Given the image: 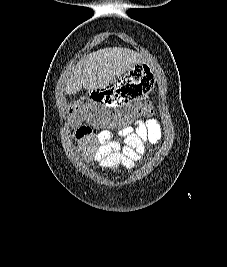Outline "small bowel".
Here are the masks:
<instances>
[{
  "instance_id": "1",
  "label": "small bowel",
  "mask_w": 227,
  "mask_h": 267,
  "mask_svg": "<svg viewBox=\"0 0 227 267\" xmlns=\"http://www.w3.org/2000/svg\"><path fill=\"white\" fill-rule=\"evenodd\" d=\"M75 137L87 162L112 171L117 166L133 168L143 158L147 144L160 142L162 128L154 117H139L123 130H101L97 134L83 125L76 130Z\"/></svg>"
}]
</instances>
